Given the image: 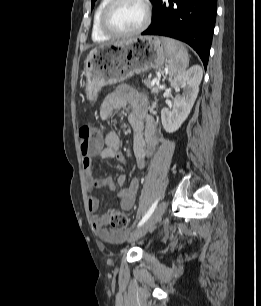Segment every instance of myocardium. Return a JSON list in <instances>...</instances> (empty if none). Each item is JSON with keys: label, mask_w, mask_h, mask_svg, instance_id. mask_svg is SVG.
I'll list each match as a JSON object with an SVG mask.
<instances>
[{"label": "myocardium", "mask_w": 261, "mask_h": 306, "mask_svg": "<svg viewBox=\"0 0 261 306\" xmlns=\"http://www.w3.org/2000/svg\"><path fill=\"white\" fill-rule=\"evenodd\" d=\"M121 2L122 0H109L108 3L105 5L100 17L101 29L107 35L116 38H127L140 34L149 26L151 21L152 6L150 0H139V2L144 6L145 17L143 22L136 29L129 32L119 31L110 23L111 12Z\"/></svg>", "instance_id": "f54148a6"}]
</instances>
